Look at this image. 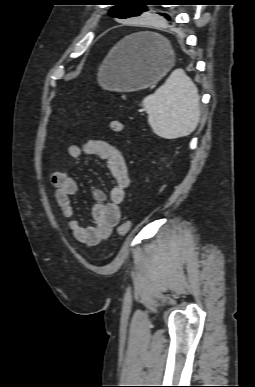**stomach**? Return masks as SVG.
Masks as SVG:
<instances>
[{"label":"stomach","instance_id":"1","mask_svg":"<svg viewBox=\"0 0 255 387\" xmlns=\"http://www.w3.org/2000/svg\"><path fill=\"white\" fill-rule=\"evenodd\" d=\"M174 61L175 55L166 39L134 34L111 50L99 70L98 83L111 91L144 89L164 77Z\"/></svg>","mask_w":255,"mask_h":387}]
</instances>
